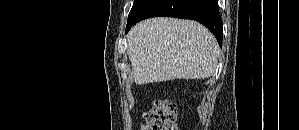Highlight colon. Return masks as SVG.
Instances as JSON below:
<instances>
[{"label": "colon", "instance_id": "colon-1", "mask_svg": "<svg viewBox=\"0 0 299 130\" xmlns=\"http://www.w3.org/2000/svg\"><path fill=\"white\" fill-rule=\"evenodd\" d=\"M145 118L144 130H177V106L171 99H155Z\"/></svg>", "mask_w": 299, "mask_h": 130}]
</instances>
